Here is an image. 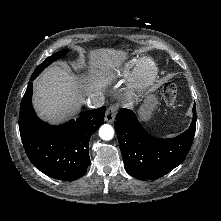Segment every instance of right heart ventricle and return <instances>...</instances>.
I'll return each mask as SVG.
<instances>
[{
	"label": "right heart ventricle",
	"instance_id": "right-heart-ventricle-1",
	"mask_svg": "<svg viewBox=\"0 0 221 221\" xmlns=\"http://www.w3.org/2000/svg\"><path fill=\"white\" fill-rule=\"evenodd\" d=\"M138 62H139L138 59H133V60L130 62L129 66H128V70H129V69H132L133 67H135V66L138 64Z\"/></svg>",
	"mask_w": 221,
	"mask_h": 221
}]
</instances>
